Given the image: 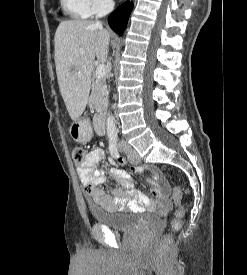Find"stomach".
Listing matches in <instances>:
<instances>
[{"label":"stomach","instance_id":"1","mask_svg":"<svg viewBox=\"0 0 247 275\" xmlns=\"http://www.w3.org/2000/svg\"><path fill=\"white\" fill-rule=\"evenodd\" d=\"M70 133L72 138L77 142H85L91 138L89 126L80 121L73 123Z\"/></svg>","mask_w":247,"mask_h":275}]
</instances>
